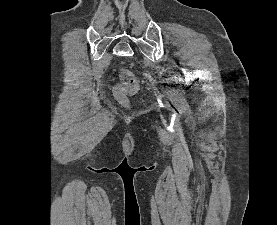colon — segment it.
Segmentation results:
<instances>
[{"label": "colon", "instance_id": "obj_1", "mask_svg": "<svg viewBox=\"0 0 277 225\" xmlns=\"http://www.w3.org/2000/svg\"><path fill=\"white\" fill-rule=\"evenodd\" d=\"M139 91V82L135 74L124 68L120 71V83H118L114 89L113 94L115 98L124 106L129 105L128 97Z\"/></svg>", "mask_w": 277, "mask_h": 225}]
</instances>
